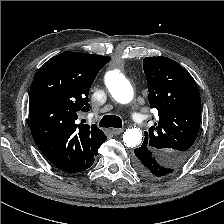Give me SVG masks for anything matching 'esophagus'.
Masks as SVG:
<instances>
[{"instance_id": "1", "label": "esophagus", "mask_w": 224, "mask_h": 224, "mask_svg": "<svg viewBox=\"0 0 224 224\" xmlns=\"http://www.w3.org/2000/svg\"><path fill=\"white\" fill-rule=\"evenodd\" d=\"M112 132L115 134V135H119L123 132V129H113Z\"/></svg>"}]
</instances>
